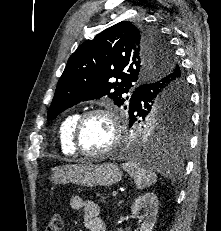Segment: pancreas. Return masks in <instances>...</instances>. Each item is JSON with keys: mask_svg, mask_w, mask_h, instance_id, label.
Returning a JSON list of instances; mask_svg holds the SVG:
<instances>
[{"mask_svg": "<svg viewBox=\"0 0 221 231\" xmlns=\"http://www.w3.org/2000/svg\"><path fill=\"white\" fill-rule=\"evenodd\" d=\"M97 196L100 197L102 200L106 199L102 194H97Z\"/></svg>", "mask_w": 221, "mask_h": 231, "instance_id": "1", "label": "pancreas"}]
</instances>
